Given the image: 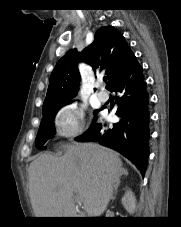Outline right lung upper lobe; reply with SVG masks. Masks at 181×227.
<instances>
[{"label":"right lung upper lobe","instance_id":"cb5924a9","mask_svg":"<svg viewBox=\"0 0 181 227\" xmlns=\"http://www.w3.org/2000/svg\"><path fill=\"white\" fill-rule=\"evenodd\" d=\"M132 55L125 38L117 29L101 27L96 31L93 43L81 53L70 50L58 61L50 77L43 109L66 103L76 95L80 82L78 62L88 63L94 71H104L109 78L106 88H109Z\"/></svg>","mask_w":181,"mask_h":227}]
</instances>
